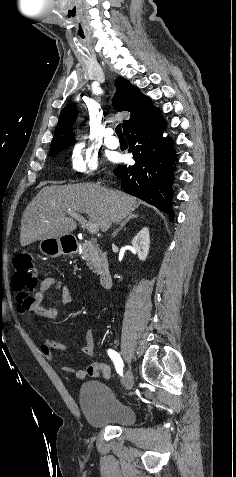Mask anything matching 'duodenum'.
I'll return each mask as SVG.
<instances>
[{"mask_svg":"<svg viewBox=\"0 0 236 477\" xmlns=\"http://www.w3.org/2000/svg\"><path fill=\"white\" fill-rule=\"evenodd\" d=\"M64 248L76 251L79 248V243L75 239H65ZM100 285L103 288H110L112 285V274L108 268H104L101 272Z\"/></svg>","mask_w":236,"mask_h":477,"instance_id":"410a0bca","label":"duodenum"}]
</instances>
